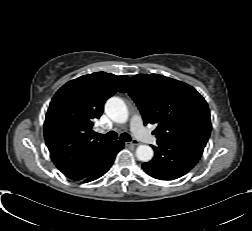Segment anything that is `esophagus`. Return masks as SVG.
<instances>
[{"instance_id":"esophagus-1","label":"esophagus","mask_w":252,"mask_h":231,"mask_svg":"<svg viewBox=\"0 0 252 231\" xmlns=\"http://www.w3.org/2000/svg\"><path fill=\"white\" fill-rule=\"evenodd\" d=\"M138 144H139V143H138L137 140H133V141H131V142L126 143L127 146H136V145H138Z\"/></svg>"}]
</instances>
